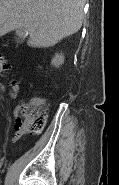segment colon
Returning a JSON list of instances; mask_svg holds the SVG:
<instances>
[{
  "label": "colon",
  "mask_w": 119,
  "mask_h": 185,
  "mask_svg": "<svg viewBox=\"0 0 119 185\" xmlns=\"http://www.w3.org/2000/svg\"><path fill=\"white\" fill-rule=\"evenodd\" d=\"M27 130L32 134H39L45 125V114L38 109L37 105L31 106L25 113Z\"/></svg>",
  "instance_id": "colon-1"
}]
</instances>
